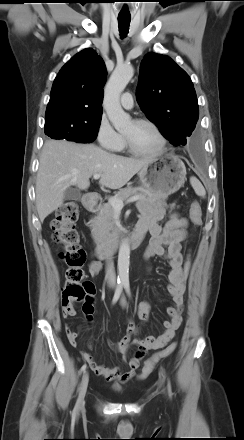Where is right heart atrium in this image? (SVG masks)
Here are the masks:
<instances>
[{
	"mask_svg": "<svg viewBox=\"0 0 244 440\" xmlns=\"http://www.w3.org/2000/svg\"><path fill=\"white\" fill-rule=\"evenodd\" d=\"M96 139L101 147L111 151L116 150L122 141L121 135L113 128L105 115L99 120Z\"/></svg>",
	"mask_w": 244,
	"mask_h": 440,
	"instance_id": "obj_1",
	"label": "right heart atrium"
}]
</instances>
